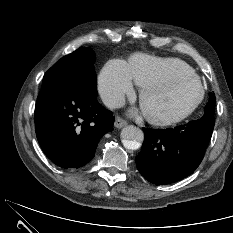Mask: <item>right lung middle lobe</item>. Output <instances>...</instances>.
Segmentation results:
<instances>
[{"instance_id": "right-lung-middle-lobe-1", "label": "right lung middle lobe", "mask_w": 233, "mask_h": 233, "mask_svg": "<svg viewBox=\"0 0 233 233\" xmlns=\"http://www.w3.org/2000/svg\"><path fill=\"white\" fill-rule=\"evenodd\" d=\"M95 53L91 48L81 47L59 60L45 75L46 79H63L88 83L96 87L94 69Z\"/></svg>"}]
</instances>
